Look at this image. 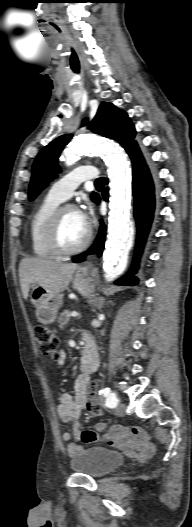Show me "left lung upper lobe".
I'll return each instance as SVG.
<instances>
[{
	"instance_id": "left-lung-upper-lobe-1",
	"label": "left lung upper lobe",
	"mask_w": 192,
	"mask_h": 527,
	"mask_svg": "<svg viewBox=\"0 0 192 527\" xmlns=\"http://www.w3.org/2000/svg\"><path fill=\"white\" fill-rule=\"evenodd\" d=\"M87 120L83 121V125ZM94 133L118 141L126 152L134 145L135 128L127 113L117 109L111 103L103 102L89 127ZM71 135H63L45 146L37 155L29 186V199L33 200L42 189H44L53 178L60 172L58 159L63 147L69 142ZM98 195L93 193L91 199L96 202Z\"/></svg>"
}]
</instances>
